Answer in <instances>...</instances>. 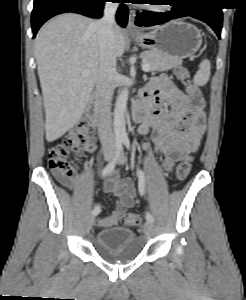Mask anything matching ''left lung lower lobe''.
Instances as JSON below:
<instances>
[{
    "label": "left lung lower lobe",
    "instance_id": "1",
    "mask_svg": "<svg viewBox=\"0 0 246 300\" xmlns=\"http://www.w3.org/2000/svg\"><path fill=\"white\" fill-rule=\"evenodd\" d=\"M167 13L144 12L137 16L136 25L153 26L171 19L191 16L207 23L220 38L223 22L222 8L218 0H178Z\"/></svg>",
    "mask_w": 246,
    "mask_h": 300
}]
</instances>
